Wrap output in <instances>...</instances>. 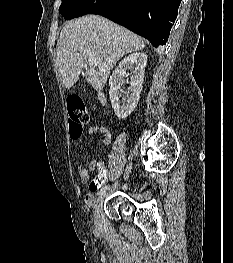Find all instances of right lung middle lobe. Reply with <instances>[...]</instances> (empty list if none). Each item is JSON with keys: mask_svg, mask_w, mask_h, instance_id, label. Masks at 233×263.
<instances>
[{"mask_svg": "<svg viewBox=\"0 0 233 263\" xmlns=\"http://www.w3.org/2000/svg\"><path fill=\"white\" fill-rule=\"evenodd\" d=\"M119 0H62L59 12L66 19H72L85 14H91L96 8L103 5L115 4Z\"/></svg>", "mask_w": 233, "mask_h": 263, "instance_id": "right-lung-middle-lobe-1", "label": "right lung middle lobe"}]
</instances>
